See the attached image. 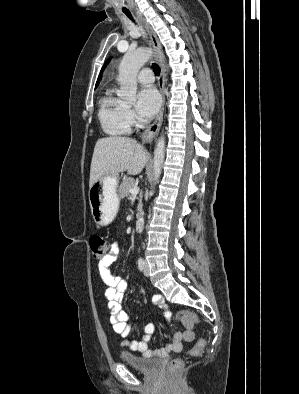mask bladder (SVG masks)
Wrapping results in <instances>:
<instances>
[{"label": "bladder", "mask_w": 299, "mask_h": 394, "mask_svg": "<svg viewBox=\"0 0 299 394\" xmlns=\"http://www.w3.org/2000/svg\"><path fill=\"white\" fill-rule=\"evenodd\" d=\"M120 358L123 363L141 373H151L159 368V359L146 358L129 352H122Z\"/></svg>", "instance_id": "1"}]
</instances>
